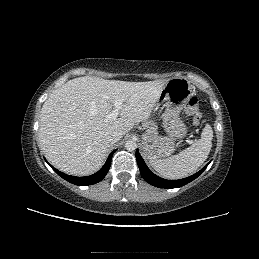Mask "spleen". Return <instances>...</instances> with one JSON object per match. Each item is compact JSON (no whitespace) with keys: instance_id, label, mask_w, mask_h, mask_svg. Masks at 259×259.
<instances>
[{"instance_id":"3e777b00","label":"spleen","mask_w":259,"mask_h":259,"mask_svg":"<svg viewBox=\"0 0 259 259\" xmlns=\"http://www.w3.org/2000/svg\"><path fill=\"white\" fill-rule=\"evenodd\" d=\"M213 130L206 125L201 133V139L166 159L150 160L151 167L167 179H181L195 172L207 159L212 148Z\"/></svg>"}]
</instances>
